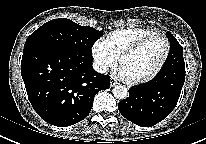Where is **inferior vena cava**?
I'll list each match as a JSON object with an SVG mask.
<instances>
[{
    "instance_id": "1",
    "label": "inferior vena cava",
    "mask_w": 206,
    "mask_h": 144,
    "mask_svg": "<svg viewBox=\"0 0 206 144\" xmlns=\"http://www.w3.org/2000/svg\"><path fill=\"white\" fill-rule=\"evenodd\" d=\"M93 68L96 72L101 74L106 73L107 71V67L105 65L99 64L97 62L93 63Z\"/></svg>"
}]
</instances>
